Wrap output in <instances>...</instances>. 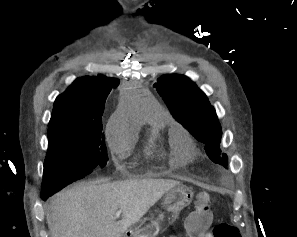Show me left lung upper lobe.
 Wrapping results in <instances>:
<instances>
[{
    "label": "left lung upper lobe",
    "instance_id": "obj_1",
    "mask_svg": "<svg viewBox=\"0 0 297 237\" xmlns=\"http://www.w3.org/2000/svg\"><path fill=\"white\" fill-rule=\"evenodd\" d=\"M157 82L154 87L173 117L206 145V153L212 161L226 167L227 156L222 154L220 158L221 126L204 92L183 75H163Z\"/></svg>",
    "mask_w": 297,
    "mask_h": 237
}]
</instances>
